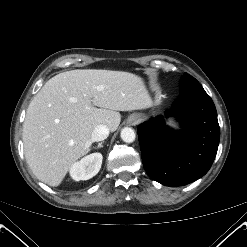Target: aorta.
<instances>
[{"instance_id":"762f6f07","label":"aorta","mask_w":247,"mask_h":247,"mask_svg":"<svg viewBox=\"0 0 247 247\" xmlns=\"http://www.w3.org/2000/svg\"><path fill=\"white\" fill-rule=\"evenodd\" d=\"M121 139L126 143H131L135 140L136 134L130 127H124L120 133Z\"/></svg>"}]
</instances>
